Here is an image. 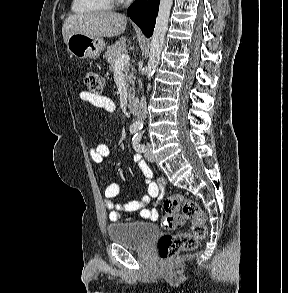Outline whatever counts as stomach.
<instances>
[{
  "label": "stomach",
  "mask_w": 288,
  "mask_h": 293,
  "mask_svg": "<svg viewBox=\"0 0 288 293\" xmlns=\"http://www.w3.org/2000/svg\"><path fill=\"white\" fill-rule=\"evenodd\" d=\"M66 45L68 52L78 59H97L104 50L105 41L101 37L73 33L69 36Z\"/></svg>",
  "instance_id": "obj_1"
}]
</instances>
